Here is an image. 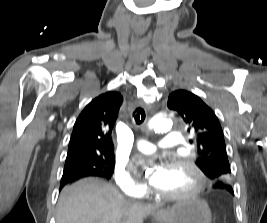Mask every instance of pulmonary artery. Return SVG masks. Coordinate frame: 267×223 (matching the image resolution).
Segmentation results:
<instances>
[{
	"label": "pulmonary artery",
	"instance_id": "e3ab8cb5",
	"mask_svg": "<svg viewBox=\"0 0 267 223\" xmlns=\"http://www.w3.org/2000/svg\"><path fill=\"white\" fill-rule=\"evenodd\" d=\"M182 137L180 134L167 133L163 136L160 146L161 147H173L180 145ZM136 148L143 153H152L156 150L157 146L147 140H138L135 143Z\"/></svg>",
	"mask_w": 267,
	"mask_h": 223
}]
</instances>
